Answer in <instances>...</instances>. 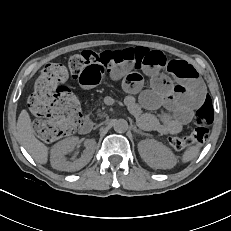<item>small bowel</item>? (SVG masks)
I'll list each match as a JSON object with an SVG mask.
<instances>
[{"instance_id": "obj_1", "label": "small bowel", "mask_w": 231, "mask_h": 231, "mask_svg": "<svg viewBox=\"0 0 231 231\" xmlns=\"http://www.w3.org/2000/svg\"><path fill=\"white\" fill-rule=\"evenodd\" d=\"M156 57L149 59L145 66L132 69L121 66L114 70H105L98 66H89L78 78L84 89H90L103 80H122V88L130 95L125 103L139 124L151 131L163 134L179 133L183 126L190 122L193 111L205 98V86L198 72L184 61L167 60L157 51H151ZM141 69L150 78V89L142 91L144 78L138 71ZM167 70L176 79L173 84L162 74ZM140 92L139 99L134 94ZM164 107L168 112L159 117L143 112Z\"/></svg>"}]
</instances>
